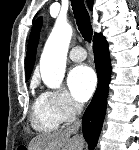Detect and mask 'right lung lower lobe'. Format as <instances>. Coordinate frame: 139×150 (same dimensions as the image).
<instances>
[{"mask_svg":"<svg viewBox=\"0 0 139 150\" xmlns=\"http://www.w3.org/2000/svg\"><path fill=\"white\" fill-rule=\"evenodd\" d=\"M93 51L98 75V86L82 120L83 135L90 150L96 146L102 129L111 79L108 43L101 33H95L94 35Z\"/></svg>","mask_w":139,"mask_h":150,"instance_id":"98d812e1","label":"right lung lower lobe"}]
</instances>
